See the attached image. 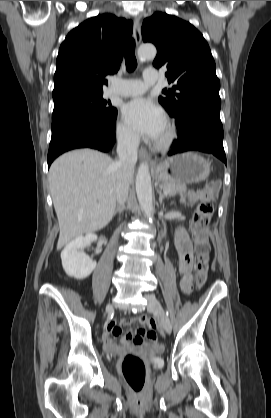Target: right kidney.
<instances>
[{"label": "right kidney", "mask_w": 271, "mask_h": 418, "mask_svg": "<svg viewBox=\"0 0 271 418\" xmlns=\"http://www.w3.org/2000/svg\"><path fill=\"white\" fill-rule=\"evenodd\" d=\"M97 240V235L87 233L69 242L61 252L64 271L68 276L76 279L87 278L96 267V262L89 258L83 249L91 242Z\"/></svg>", "instance_id": "obj_1"}]
</instances>
